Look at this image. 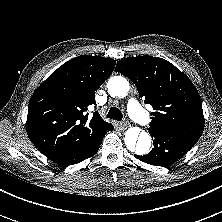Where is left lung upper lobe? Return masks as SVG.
Masks as SVG:
<instances>
[{
	"mask_svg": "<svg viewBox=\"0 0 222 222\" xmlns=\"http://www.w3.org/2000/svg\"><path fill=\"white\" fill-rule=\"evenodd\" d=\"M116 72L127 76L144 102L152 105L149 129L202 135L205 120L200 96L189 78L173 64L159 57H129L117 63Z\"/></svg>",
	"mask_w": 222,
	"mask_h": 222,
	"instance_id": "obj_1",
	"label": "left lung upper lobe"
}]
</instances>
